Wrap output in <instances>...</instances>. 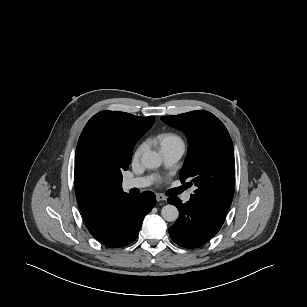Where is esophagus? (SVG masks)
I'll return each instance as SVG.
<instances>
[{
	"instance_id": "obj_1",
	"label": "esophagus",
	"mask_w": 307,
	"mask_h": 307,
	"mask_svg": "<svg viewBox=\"0 0 307 307\" xmlns=\"http://www.w3.org/2000/svg\"><path fill=\"white\" fill-rule=\"evenodd\" d=\"M167 198L163 194H156V200L158 202L165 201Z\"/></svg>"
}]
</instances>
